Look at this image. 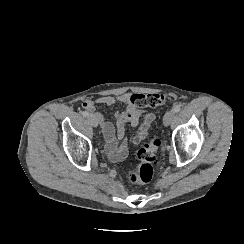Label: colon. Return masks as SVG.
Here are the masks:
<instances>
[{
  "mask_svg": "<svg viewBox=\"0 0 244 244\" xmlns=\"http://www.w3.org/2000/svg\"><path fill=\"white\" fill-rule=\"evenodd\" d=\"M130 101L137 108H157L167 103V96L161 92L137 93L131 96ZM132 141L138 144L141 141V136L139 134L133 135ZM159 146L160 140L157 137H151L141 147L137 154V167L128 171L130 182L144 183L153 176V163Z\"/></svg>",
  "mask_w": 244,
  "mask_h": 244,
  "instance_id": "5ec220e1",
  "label": "colon"
}]
</instances>
